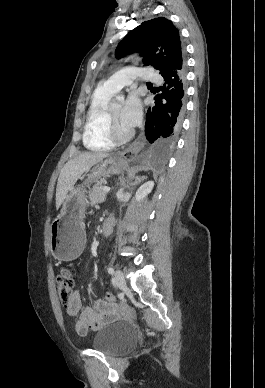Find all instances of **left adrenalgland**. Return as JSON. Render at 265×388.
<instances>
[{"instance_id":"a2214340","label":"left adrenal gland","mask_w":265,"mask_h":388,"mask_svg":"<svg viewBox=\"0 0 265 388\" xmlns=\"http://www.w3.org/2000/svg\"><path fill=\"white\" fill-rule=\"evenodd\" d=\"M143 180H147V178H145V176H142V178H135L134 184H129L127 188H130V186H137V184H140V182H143Z\"/></svg>"}]
</instances>
